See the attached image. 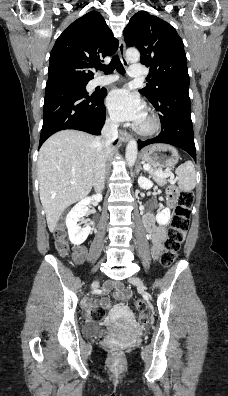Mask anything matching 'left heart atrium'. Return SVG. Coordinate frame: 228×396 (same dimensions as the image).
Listing matches in <instances>:
<instances>
[{
	"mask_svg": "<svg viewBox=\"0 0 228 396\" xmlns=\"http://www.w3.org/2000/svg\"><path fill=\"white\" fill-rule=\"evenodd\" d=\"M106 104L110 114L117 121L139 124L146 116L141 99L126 89L113 90L108 95Z\"/></svg>",
	"mask_w": 228,
	"mask_h": 396,
	"instance_id": "39dd6f15",
	"label": "left heart atrium"
}]
</instances>
